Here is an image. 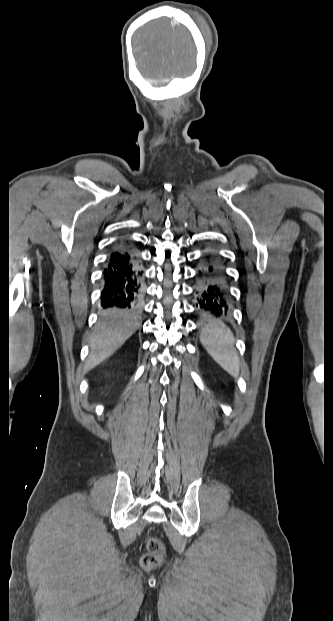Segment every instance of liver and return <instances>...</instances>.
<instances>
[{
    "label": "liver",
    "mask_w": 333,
    "mask_h": 621,
    "mask_svg": "<svg viewBox=\"0 0 333 621\" xmlns=\"http://www.w3.org/2000/svg\"><path fill=\"white\" fill-rule=\"evenodd\" d=\"M138 316L131 312L110 309L103 313L92 335L91 353L85 364L89 371L110 357L139 328Z\"/></svg>",
    "instance_id": "1"
}]
</instances>
